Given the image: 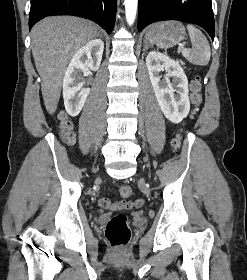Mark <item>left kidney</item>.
<instances>
[{"instance_id": "left-kidney-1", "label": "left kidney", "mask_w": 247, "mask_h": 280, "mask_svg": "<svg viewBox=\"0 0 247 280\" xmlns=\"http://www.w3.org/2000/svg\"><path fill=\"white\" fill-rule=\"evenodd\" d=\"M146 66L162 113L172 123H180L190 110L188 80L183 69L178 62L156 51L148 53ZM164 69L167 75L161 80L160 72Z\"/></svg>"}]
</instances>
